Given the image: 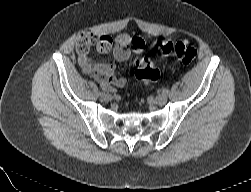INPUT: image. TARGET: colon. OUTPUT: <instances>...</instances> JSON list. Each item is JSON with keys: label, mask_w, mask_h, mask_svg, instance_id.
<instances>
[{"label": "colon", "mask_w": 251, "mask_h": 192, "mask_svg": "<svg viewBox=\"0 0 251 192\" xmlns=\"http://www.w3.org/2000/svg\"><path fill=\"white\" fill-rule=\"evenodd\" d=\"M154 48L163 55H171L176 57L183 64L192 63L196 56L197 50L182 41L172 42L166 39H157ZM135 76L138 80L146 85L152 84L158 80L160 72L153 62L147 57H140L134 61Z\"/></svg>", "instance_id": "5ec220e1"}]
</instances>
